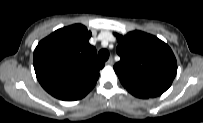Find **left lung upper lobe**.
<instances>
[{
	"label": "left lung upper lobe",
	"mask_w": 203,
	"mask_h": 123,
	"mask_svg": "<svg viewBox=\"0 0 203 123\" xmlns=\"http://www.w3.org/2000/svg\"><path fill=\"white\" fill-rule=\"evenodd\" d=\"M121 60L114 65L122 85L134 96L149 98L164 93L177 73L171 48L157 37L142 31L125 36L115 33Z\"/></svg>",
	"instance_id": "left-lung-upper-lobe-1"
}]
</instances>
